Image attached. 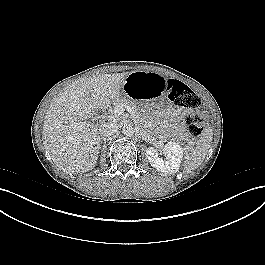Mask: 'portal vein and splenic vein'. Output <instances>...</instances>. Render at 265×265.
Wrapping results in <instances>:
<instances>
[{"label":"portal vein and splenic vein","instance_id":"18ae733b","mask_svg":"<svg viewBox=\"0 0 265 265\" xmlns=\"http://www.w3.org/2000/svg\"><path fill=\"white\" fill-rule=\"evenodd\" d=\"M125 111H128L130 114H134V110L130 106H124V105H118L114 108L113 114L114 116H120L122 115ZM75 126L79 125V123H74Z\"/></svg>","mask_w":265,"mask_h":265}]
</instances>
